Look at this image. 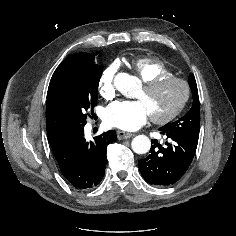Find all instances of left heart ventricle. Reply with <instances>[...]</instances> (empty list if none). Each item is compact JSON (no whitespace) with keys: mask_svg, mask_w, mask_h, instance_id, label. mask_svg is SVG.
I'll return each mask as SVG.
<instances>
[{"mask_svg":"<svg viewBox=\"0 0 236 236\" xmlns=\"http://www.w3.org/2000/svg\"><path fill=\"white\" fill-rule=\"evenodd\" d=\"M183 93V87L172 82L150 93L142 88L137 98L144 102L150 115L163 116L180 102Z\"/></svg>","mask_w":236,"mask_h":236,"instance_id":"left-heart-ventricle-1","label":"left heart ventricle"}]
</instances>
